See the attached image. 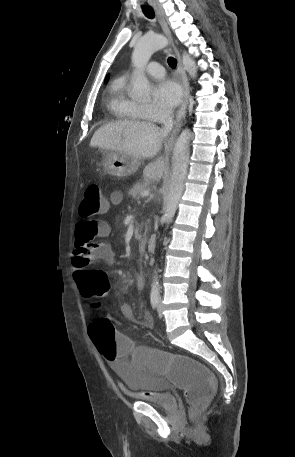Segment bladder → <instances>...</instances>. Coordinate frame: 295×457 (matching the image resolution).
<instances>
[{
    "mask_svg": "<svg viewBox=\"0 0 295 457\" xmlns=\"http://www.w3.org/2000/svg\"><path fill=\"white\" fill-rule=\"evenodd\" d=\"M124 388L155 406L161 411H176L175 396L166 390V380L161 374H143L139 366H121L120 362L111 364Z\"/></svg>",
    "mask_w": 295,
    "mask_h": 457,
    "instance_id": "1",
    "label": "bladder"
}]
</instances>
